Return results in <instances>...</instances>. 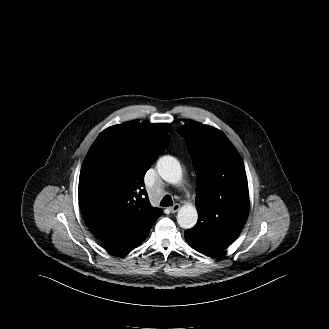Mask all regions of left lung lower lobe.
<instances>
[{"mask_svg":"<svg viewBox=\"0 0 329 329\" xmlns=\"http://www.w3.org/2000/svg\"><path fill=\"white\" fill-rule=\"evenodd\" d=\"M240 231L241 229L238 227L224 229L223 232L210 240L197 237L191 230L185 231L184 236L187 243L196 251L207 256H215L227 248L238 237Z\"/></svg>","mask_w":329,"mask_h":329,"instance_id":"left-lung-lower-lobe-1","label":"left lung lower lobe"}]
</instances>
